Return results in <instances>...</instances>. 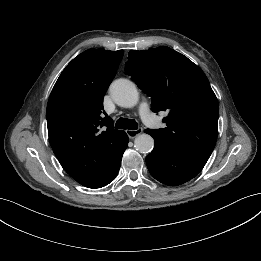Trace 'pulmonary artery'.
Segmentation results:
<instances>
[{
    "mask_svg": "<svg viewBox=\"0 0 261 261\" xmlns=\"http://www.w3.org/2000/svg\"><path fill=\"white\" fill-rule=\"evenodd\" d=\"M139 114L143 122L147 125H151L154 120V116L150 111L149 105L147 102H142L139 105Z\"/></svg>",
    "mask_w": 261,
    "mask_h": 261,
    "instance_id": "1",
    "label": "pulmonary artery"
}]
</instances>
